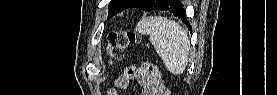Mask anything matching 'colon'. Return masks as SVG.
<instances>
[{"mask_svg":"<svg viewBox=\"0 0 277 95\" xmlns=\"http://www.w3.org/2000/svg\"><path fill=\"white\" fill-rule=\"evenodd\" d=\"M139 37L130 31L111 30L107 34L108 54L111 60H119L123 57L125 49L137 43Z\"/></svg>","mask_w":277,"mask_h":95,"instance_id":"5ec220e1","label":"colon"}]
</instances>
